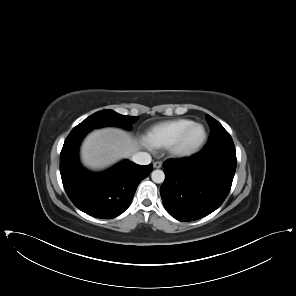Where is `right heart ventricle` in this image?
Here are the masks:
<instances>
[{"mask_svg":"<svg viewBox=\"0 0 296 296\" xmlns=\"http://www.w3.org/2000/svg\"><path fill=\"white\" fill-rule=\"evenodd\" d=\"M191 123L192 121L189 119H175L158 123L147 131L145 141L151 147L165 148Z\"/></svg>","mask_w":296,"mask_h":296,"instance_id":"obj_1","label":"right heart ventricle"}]
</instances>
